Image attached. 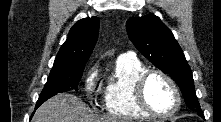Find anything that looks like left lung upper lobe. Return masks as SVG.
Listing matches in <instances>:
<instances>
[{"instance_id":"5c2ea615","label":"left lung upper lobe","mask_w":221,"mask_h":122,"mask_svg":"<svg viewBox=\"0 0 221 122\" xmlns=\"http://www.w3.org/2000/svg\"><path fill=\"white\" fill-rule=\"evenodd\" d=\"M126 28L135 47L156 67L171 76L180 87L186 105L201 114L192 71L167 26L157 16L149 14L130 18Z\"/></svg>"}]
</instances>
